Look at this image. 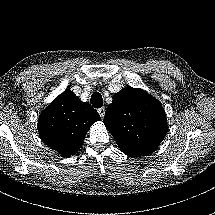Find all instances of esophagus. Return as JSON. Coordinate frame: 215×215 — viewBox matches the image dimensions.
<instances>
[{"instance_id": "1", "label": "esophagus", "mask_w": 215, "mask_h": 215, "mask_svg": "<svg viewBox=\"0 0 215 215\" xmlns=\"http://www.w3.org/2000/svg\"><path fill=\"white\" fill-rule=\"evenodd\" d=\"M97 111H98L100 117L103 118L104 115H105V112H106L105 107H101V108H99Z\"/></svg>"}]
</instances>
